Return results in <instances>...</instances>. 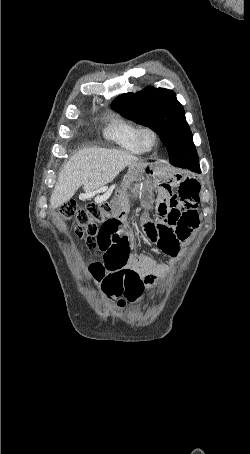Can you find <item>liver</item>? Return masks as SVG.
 Instances as JSON below:
<instances>
[{
	"mask_svg": "<svg viewBox=\"0 0 250 454\" xmlns=\"http://www.w3.org/2000/svg\"><path fill=\"white\" fill-rule=\"evenodd\" d=\"M144 166L139 159L125 151L105 148H84L75 153L63 166L50 198L55 209L70 200L83 186L85 194L93 192L112 182L127 166Z\"/></svg>",
	"mask_w": 250,
	"mask_h": 454,
	"instance_id": "6515ba94",
	"label": "liver"
}]
</instances>
